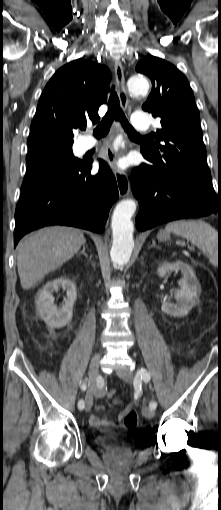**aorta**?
<instances>
[{
	"mask_svg": "<svg viewBox=\"0 0 221 510\" xmlns=\"http://www.w3.org/2000/svg\"><path fill=\"white\" fill-rule=\"evenodd\" d=\"M128 90L131 94H143L149 90V82L142 75H134L127 81ZM123 145L122 137L115 141V146ZM136 211V203L132 199L121 200L115 207L112 215L113 242L110 251L111 260L115 265L123 266L128 263L134 248L133 231L131 221Z\"/></svg>",
	"mask_w": 221,
	"mask_h": 510,
	"instance_id": "762f6f07",
	"label": "aorta"
}]
</instances>
